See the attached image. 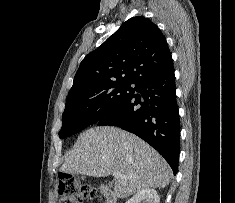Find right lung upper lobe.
<instances>
[{
    "label": "right lung upper lobe",
    "instance_id": "right-lung-upper-lobe-1",
    "mask_svg": "<svg viewBox=\"0 0 235 203\" xmlns=\"http://www.w3.org/2000/svg\"><path fill=\"white\" fill-rule=\"evenodd\" d=\"M172 64L164 35L143 16L132 17L80 63L69 93L112 80L140 82Z\"/></svg>",
    "mask_w": 235,
    "mask_h": 203
}]
</instances>
